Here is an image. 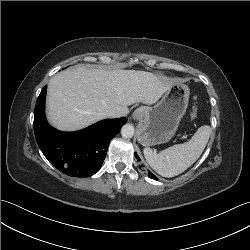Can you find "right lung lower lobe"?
Segmentation results:
<instances>
[{
  "mask_svg": "<svg viewBox=\"0 0 250 250\" xmlns=\"http://www.w3.org/2000/svg\"><path fill=\"white\" fill-rule=\"evenodd\" d=\"M45 86L34 110L35 137L47 160L62 173L88 177L100 170L110 140L127 122L125 118L106 119L76 132H61L45 118Z\"/></svg>",
  "mask_w": 250,
  "mask_h": 250,
  "instance_id": "right-lung-lower-lobe-1",
  "label": "right lung lower lobe"
}]
</instances>
